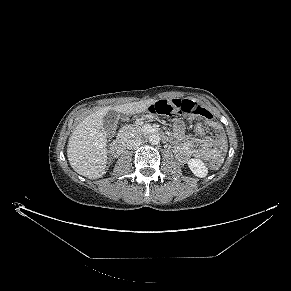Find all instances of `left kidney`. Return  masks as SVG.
Segmentation results:
<instances>
[{
  "mask_svg": "<svg viewBox=\"0 0 291 291\" xmlns=\"http://www.w3.org/2000/svg\"><path fill=\"white\" fill-rule=\"evenodd\" d=\"M188 167L192 173L197 177H205L208 173V169L200 159L188 160Z\"/></svg>",
  "mask_w": 291,
  "mask_h": 291,
  "instance_id": "left-kidney-1",
  "label": "left kidney"
}]
</instances>
